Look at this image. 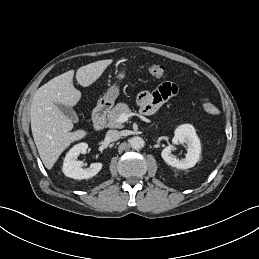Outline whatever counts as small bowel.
Here are the masks:
<instances>
[{"label":"small bowel","mask_w":259,"mask_h":259,"mask_svg":"<svg viewBox=\"0 0 259 259\" xmlns=\"http://www.w3.org/2000/svg\"><path fill=\"white\" fill-rule=\"evenodd\" d=\"M178 91L176 84L172 82H164L160 84L154 91H143L138 94L137 102L141 107V111L146 114H152L159 109L169 98L174 96Z\"/></svg>","instance_id":"c3829d8e"}]
</instances>
